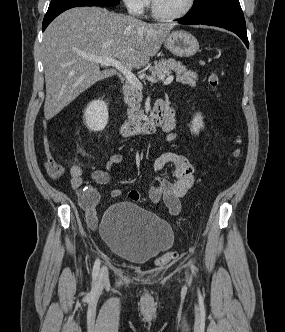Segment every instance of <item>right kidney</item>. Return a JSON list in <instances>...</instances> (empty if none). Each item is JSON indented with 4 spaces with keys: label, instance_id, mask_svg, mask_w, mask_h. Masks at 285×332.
<instances>
[{
    "label": "right kidney",
    "instance_id": "ca27d5eb",
    "mask_svg": "<svg viewBox=\"0 0 285 332\" xmlns=\"http://www.w3.org/2000/svg\"><path fill=\"white\" fill-rule=\"evenodd\" d=\"M85 122L91 131H102L108 123L107 104L102 100L90 102L84 112Z\"/></svg>",
    "mask_w": 285,
    "mask_h": 332
}]
</instances>
